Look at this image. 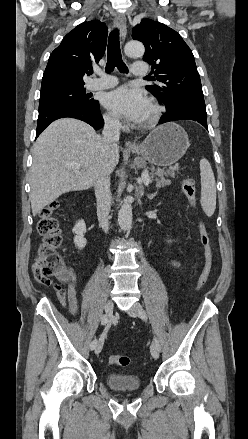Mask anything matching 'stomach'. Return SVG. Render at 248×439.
I'll use <instances>...</instances> for the list:
<instances>
[{
  "mask_svg": "<svg viewBox=\"0 0 248 439\" xmlns=\"http://www.w3.org/2000/svg\"><path fill=\"white\" fill-rule=\"evenodd\" d=\"M189 139L176 123H166L154 129L136 148L130 150L157 166H171L187 151Z\"/></svg>",
  "mask_w": 248,
  "mask_h": 439,
  "instance_id": "obj_1",
  "label": "stomach"
}]
</instances>
